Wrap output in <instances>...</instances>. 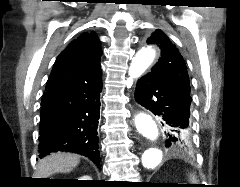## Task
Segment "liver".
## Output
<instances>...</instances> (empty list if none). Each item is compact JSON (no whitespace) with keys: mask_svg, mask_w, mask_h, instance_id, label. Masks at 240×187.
Segmentation results:
<instances>
[{"mask_svg":"<svg viewBox=\"0 0 240 187\" xmlns=\"http://www.w3.org/2000/svg\"><path fill=\"white\" fill-rule=\"evenodd\" d=\"M80 162V157L76 154L57 152L41 159L38 163L35 176L37 178H47L59 172H70Z\"/></svg>","mask_w":240,"mask_h":187,"instance_id":"1","label":"liver"}]
</instances>
